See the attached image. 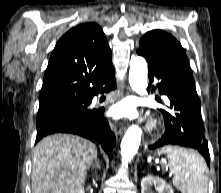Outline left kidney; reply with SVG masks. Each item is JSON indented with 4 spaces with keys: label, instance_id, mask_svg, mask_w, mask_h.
Segmentation results:
<instances>
[{
    "label": "left kidney",
    "instance_id": "left-kidney-1",
    "mask_svg": "<svg viewBox=\"0 0 221 193\" xmlns=\"http://www.w3.org/2000/svg\"><path fill=\"white\" fill-rule=\"evenodd\" d=\"M153 185L159 193H174L166 181L153 175H147L142 179L141 193H151V187Z\"/></svg>",
    "mask_w": 221,
    "mask_h": 193
}]
</instances>
